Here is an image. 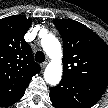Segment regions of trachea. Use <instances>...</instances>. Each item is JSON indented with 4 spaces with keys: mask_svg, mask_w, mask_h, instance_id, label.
<instances>
[{
    "mask_svg": "<svg viewBox=\"0 0 108 108\" xmlns=\"http://www.w3.org/2000/svg\"><path fill=\"white\" fill-rule=\"evenodd\" d=\"M35 60L38 63L45 61V54L42 51H37L35 54Z\"/></svg>",
    "mask_w": 108,
    "mask_h": 108,
    "instance_id": "3493384b",
    "label": "trachea"
}]
</instances>
